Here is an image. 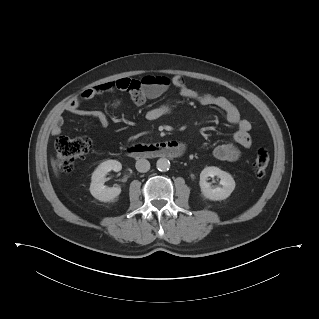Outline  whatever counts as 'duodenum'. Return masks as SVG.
<instances>
[{"label": "duodenum", "mask_w": 319, "mask_h": 319, "mask_svg": "<svg viewBox=\"0 0 319 319\" xmlns=\"http://www.w3.org/2000/svg\"><path fill=\"white\" fill-rule=\"evenodd\" d=\"M183 146L177 141H165L155 144H138L129 147L126 154L137 158H177Z\"/></svg>", "instance_id": "obj_1"}]
</instances>
